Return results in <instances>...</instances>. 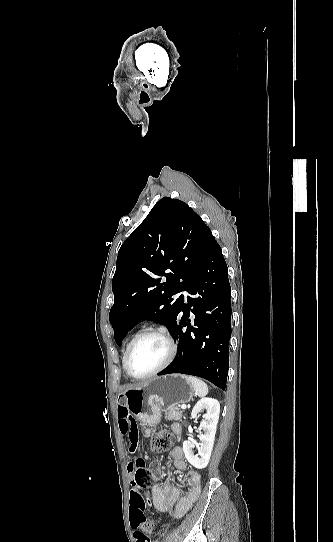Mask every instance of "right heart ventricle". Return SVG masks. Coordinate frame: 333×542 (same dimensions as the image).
Returning a JSON list of instances; mask_svg holds the SVG:
<instances>
[{
    "label": "right heart ventricle",
    "mask_w": 333,
    "mask_h": 542,
    "mask_svg": "<svg viewBox=\"0 0 333 542\" xmlns=\"http://www.w3.org/2000/svg\"><path fill=\"white\" fill-rule=\"evenodd\" d=\"M130 342H131V339L125 345V349H124V352H123V358H122L123 365H124L125 355H126V352H127V349H128V346H129Z\"/></svg>",
    "instance_id": "e07e8e85"
}]
</instances>
